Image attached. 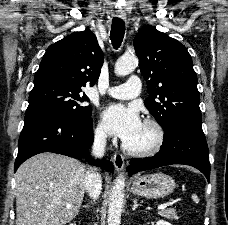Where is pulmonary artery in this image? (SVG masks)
<instances>
[{"label": "pulmonary artery", "mask_w": 228, "mask_h": 225, "mask_svg": "<svg viewBox=\"0 0 228 225\" xmlns=\"http://www.w3.org/2000/svg\"><path fill=\"white\" fill-rule=\"evenodd\" d=\"M137 76H132L130 78V85H120V86H114L109 87L107 89V93L118 99H131L136 96V94L141 93V81H133L137 80Z\"/></svg>", "instance_id": "pulmonary-artery-1"}]
</instances>
